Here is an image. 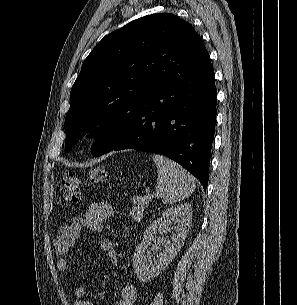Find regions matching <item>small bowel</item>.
Here are the masks:
<instances>
[{
    "label": "small bowel",
    "mask_w": 297,
    "mask_h": 305,
    "mask_svg": "<svg viewBox=\"0 0 297 305\" xmlns=\"http://www.w3.org/2000/svg\"><path fill=\"white\" fill-rule=\"evenodd\" d=\"M114 215L112 206L108 203H93L79 217L64 223L58 229L53 247L55 253L59 256L57 266L58 270L66 273L68 263L65 255L74 245L83 228H89L93 231L100 232L104 224ZM101 248L106 252L112 265L117 263V253L112 241L108 238L100 240ZM86 288L77 286L75 288L76 305H94L90 300L85 299ZM137 299V289L133 284H125L121 287L120 298L114 305H134Z\"/></svg>",
    "instance_id": "1"
}]
</instances>
